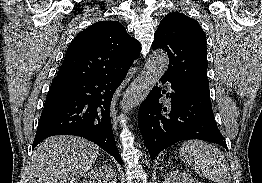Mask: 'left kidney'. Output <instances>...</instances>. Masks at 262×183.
Instances as JSON below:
<instances>
[{
  "mask_svg": "<svg viewBox=\"0 0 262 183\" xmlns=\"http://www.w3.org/2000/svg\"><path fill=\"white\" fill-rule=\"evenodd\" d=\"M164 183H201L196 178H193L191 175L180 172L178 170L171 171L167 174Z\"/></svg>",
  "mask_w": 262,
  "mask_h": 183,
  "instance_id": "obj_1",
  "label": "left kidney"
}]
</instances>
